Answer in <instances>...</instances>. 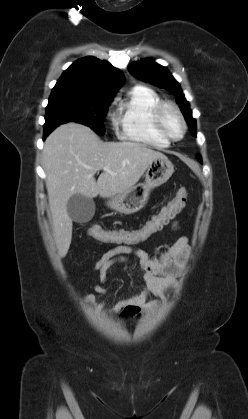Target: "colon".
Instances as JSON below:
<instances>
[{
    "label": "colon",
    "instance_id": "obj_1",
    "mask_svg": "<svg viewBox=\"0 0 248 419\" xmlns=\"http://www.w3.org/2000/svg\"><path fill=\"white\" fill-rule=\"evenodd\" d=\"M187 190L180 188L174 197L157 214L152 216L145 226V230L138 236L156 232L170 220H172L184 207L187 200ZM90 236L100 242L129 243L135 240L136 236L129 235L122 231L108 230L99 226H94L89 231Z\"/></svg>",
    "mask_w": 248,
    "mask_h": 419
}]
</instances>
